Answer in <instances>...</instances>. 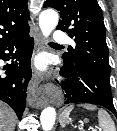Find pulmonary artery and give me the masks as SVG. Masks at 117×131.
Listing matches in <instances>:
<instances>
[{"label": "pulmonary artery", "mask_w": 117, "mask_h": 131, "mask_svg": "<svg viewBox=\"0 0 117 131\" xmlns=\"http://www.w3.org/2000/svg\"><path fill=\"white\" fill-rule=\"evenodd\" d=\"M53 39L54 42L56 43H67L70 42V39L68 38V36L62 32V31H55L54 35H53Z\"/></svg>", "instance_id": "e3ab8cb5"}]
</instances>
